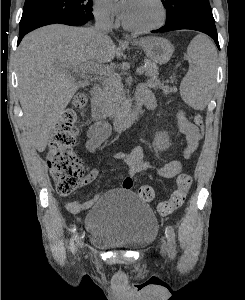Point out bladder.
Wrapping results in <instances>:
<instances>
[{"mask_svg":"<svg viewBox=\"0 0 245 300\" xmlns=\"http://www.w3.org/2000/svg\"><path fill=\"white\" fill-rule=\"evenodd\" d=\"M89 241L101 248L138 249L158 233L151 207L132 191L111 190L101 195L85 218Z\"/></svg>","mask_w":245,"mask_h":300,"instance_id":"31cf9c89","label":"bladder"}]
</instances>
